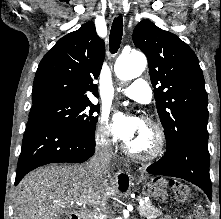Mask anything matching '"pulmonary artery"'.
Returning <instances> with one entry per match:
<instances>
[{
    "label": "pulmonary artery",
    "mask_w": 221,
    "mask_h": 219,
    "mask_svg": "<svg viewBox=\"0 0 221 219\" xmlns=\"http://www.w3.org/2000/svg\"><path fill=\"white\" fill-rule=\"evenodd\" d=\"M121 93L142 104L150 103L152 98L148 84L142 79H136L131 85L122 88Z\"/></svg>",
    "instance_id": "obj_1"
}]
</instances>
